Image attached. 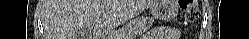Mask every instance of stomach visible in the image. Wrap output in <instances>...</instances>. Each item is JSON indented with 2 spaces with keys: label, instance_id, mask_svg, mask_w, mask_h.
I'll return each instance as SVG.
<instances>
[{
  "label": "stomach",
  "instance_id": "stomach-1",
  "mask_svg": "<svg viewBox=\"0 0 249 39\" xmlns=\"http://www.w3.org/2000/svg\"><path fill=\"white\" fill-rule=\"evenodd\" d=\"M150 10L154 18L169 21L176 15V1L157 0L156 3L151 6Z\"/></svg>",
  "mask_w": 249,
  "mask_h": 39
}]
</instances>
